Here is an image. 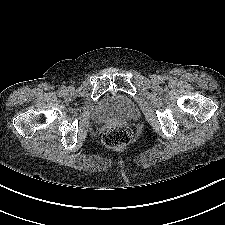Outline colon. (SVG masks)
<instances>
[{"mask_svg":"<svg viewBox=\"0 0 225 225\" xmlns=\"http://www.w3.org/2000/svg\"><path fill=\"white\" fill-rule=\"evenodd\" d=\"M132 130L124 125H116L108 128L102 136V142L110 148L123 147L132 141Z\"/></svg>","mask_w":225,"mask_h":225,"instance_id":"colon-1","label":"colon"}]
</instances>
